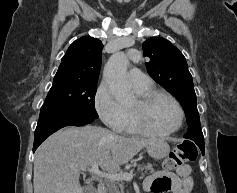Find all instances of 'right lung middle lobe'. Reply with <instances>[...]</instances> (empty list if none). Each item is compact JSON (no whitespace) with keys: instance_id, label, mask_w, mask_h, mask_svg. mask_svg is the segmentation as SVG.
<instances>
[{"instance_id":"dd1d6c3e","label":"right lung middle lobe","mask_w":237,"mask_h":193,"mask_svg":"<svg viewBox=\"0 0 237 193\" xmlns=\"http://www.w3.org/2000/svg\"><path fill=\"white\" fill-rule=\"evenodd\" d=\"M97 82L54 78L41 109L62 111L79 117L98 118L94 107Z\"/></svg>"}]
</instances>
